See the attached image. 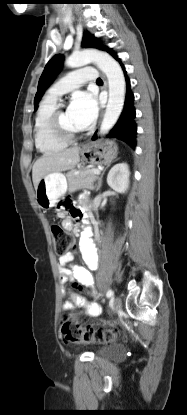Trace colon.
Here are the masks:
<instances>
[{
    "label": "colon",
    "mask_w": 187,
    "mask_h": 415,
    "mask_svg": "<svg viewBox=\"0 0 187 415\" xmlns=\"http://www.w3.org/2000/svg\"><path fill=\"white\" fill-rule=\"evenodd\" d=\"M51 233L55 243V253L63 256L69 253L75 244L73 236L68 233L60 224L51 225ZM61 334L67 342L83 343L95 341L98 343H108L123 336L121 328L113 330H92L88 327L79 326L70 317H65Z\"/></svg>",
    "instance_id": "obj_1"
}]
</instances>
